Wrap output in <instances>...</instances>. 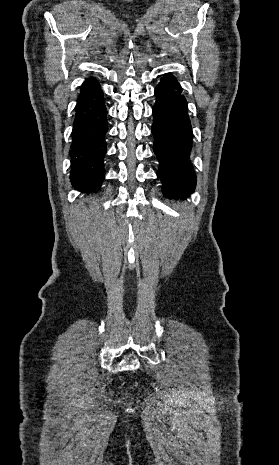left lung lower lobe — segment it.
Here are the masks:
<instances>
[{"mask_svg":"<svg viewBox=\"0 0 279 465\" xmlns=\"http://www.w3.org/2000/svg\"><path fill=\"white\" fill-rule=\"evenodd\" d=\"M153 106V150L159 160L157 176L162 180L167 197L189 196L196 186V176L190 161L192 128L181 86L167 75L155 88Z\"/></svg>","mask_w":279,"mask_h":465,"instance_id":"0a47b994","label":"left lung lower lobe"}]
</instances>
